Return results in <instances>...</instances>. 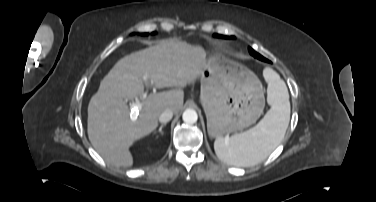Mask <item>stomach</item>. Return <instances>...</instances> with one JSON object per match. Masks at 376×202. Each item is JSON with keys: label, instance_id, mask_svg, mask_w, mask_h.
Segmentation results:
<instances>
[{"label": "stomach", "instance_id": "0dacf381", "mask_svg": "<svg viewBox=\"0 0 376 202\" xmlns=\"http://www.w3.org/2000/svg\"><path fill=\"white\" fill-rule=\"evenodd\" d=\"M200 101L211 137L242 130L263 111L261 82L245 66L220 53L209 54L200 69Z\"/></svg>", "mask_w": 376, "mask_h": 202}]
</instances>
